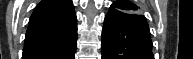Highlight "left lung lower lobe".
<instances>
[{"label":"left lung lower lobe","instance_id":"1","mask_svg":"<svg viewBox=\"0 0 193 59\" xmlns=\"http://www.w3.org/2000/svg\"><path fill=\"white\" fill-rule=\"evenodd\" d=\"M102 59H154L145 18L109 11L102 31Z\"/></svg>","mask_w":193,"mask_h":59}]
</instances>
